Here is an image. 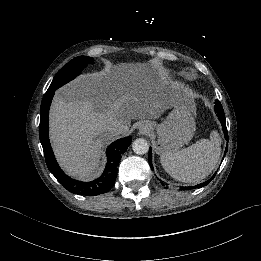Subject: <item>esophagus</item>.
<instances>
[{
	"label": "esophagus",
	"instance_id": "1",
	"mask_svg": "<svg viewBox=\"0 0 261 261\" xmlns=\"http://www.w3.org/2000/svg\"><path fill=\"white\" fill-rule=\"evenodd\" d=\"M151 123H148V122H142L140 125H139V133L140 134H146L150 131L151 129Z\"/></svg>",
	"mask_w": 261,
	"mask_h": 261
}]
</instances>
